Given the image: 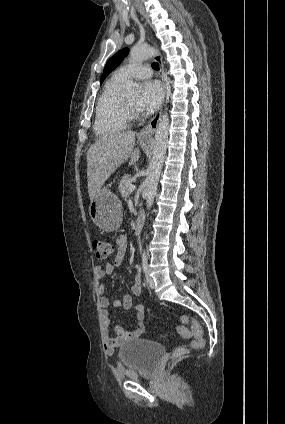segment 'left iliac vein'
I'll use <instances>...</instances> for the list:
<instances>
[{"label":"left iliac vein","instance_id":"4c4485c4","mask_svg":"<svg viewBox=\"0 0 285 424\" xmlns=\"http://www.w3.org/2000/svg\"><path fill=\"white\" fill-rule=\"evenodd\" d=\"M146 281H147V284L149 285V287L151 289H154L155 282H154L153 278L148 274V272L146 273Z\"/></svg>","mask_w":285,"mask_h":424}]
</instances>
